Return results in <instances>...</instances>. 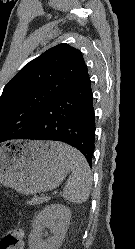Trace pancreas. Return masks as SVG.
<instances>
[{"mask_svg":"<svg viewBox=\"0 0 135 249\" xmlns=\"http://www.w3.org/2000/svg\"><path fill=\"white\" fill-rule=\"evenodd\" d=\"M48 200H49V198L45 197V196H41V197L35 196L31 200L27 201V203L29 205H39V204H42Z\"/></svg>","mask_w":135,"mask_h":249,"instance_id":"cf45deb5","label":"pancreas"}]
</instances>
